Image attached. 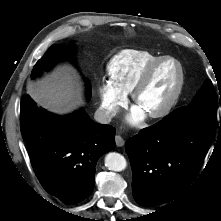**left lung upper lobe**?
Returning a JSON list of instances; mask_svg holds the SVG:
<instances>
[{"label": "left lung upper lobe", "instance_id": "1", "mask_svg": "<svg viewBox=\"0 0 221 221\" xmlns=\"http://www.w3.org/2000/svg\"><path fill=\"white\" fill-rule=\"evenodd\" d=\"M165 118L171 125L178 127L200 126L217 129L219 125L211 81L208 80L204 84L198 95L187 107L177 109Z\"/></svg>", "mask_w": 221, "mask_h": 221}]
</instances>
